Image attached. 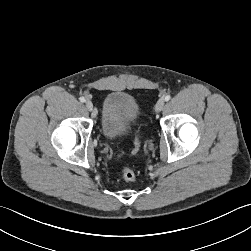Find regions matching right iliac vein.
Instances as JSON below:
<instances>
[{"mask_svg":"<svg viewBox=\"0 0 251 251\" xmlns=\"http://www.w3.org/2000/svg\"><path fill=\"white\" fill-rule=\"evenodd\" d=\"M85 106L87 108L88 111H92L93 110V103L90 100H87L85 102Z\"/></svg>","mask_w":251,"mask_h":251,"instance_id":"1","label":"right iliac vein"}]
</instances>
